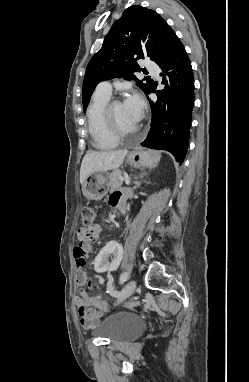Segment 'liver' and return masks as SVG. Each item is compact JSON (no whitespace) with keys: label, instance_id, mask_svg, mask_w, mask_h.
I'll use <instances>...</instances> for the list:
<instances>
[{"label":"liver","instance_id":"6515ba94","mask_svg":"<svg viewBox=\"0 0 249 382\" xmlns=\"http://www.w3.org/2000/svg\"><path fill=\"white\" fill-rule=\"evenodd\" d=\"M128 154L126 149L116 151H90L81 163L80 183L83 184L88 175L94 172H106L120 167Z\"/></svg>","mask_w":249,"mask_h":382}]
</instances>
